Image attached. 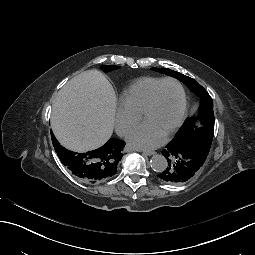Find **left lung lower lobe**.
I'll return each mask as SVG.
<instances>
[{
	"label": "left lung lower lobe",
	"instance_id": "1",
	"mask_svg": "<svg viewBox=\"0 0 255 255\" xmlns=\"http://www.w3.org/2000/svg\"><path fill=\"white\" fill-rule=\"evenodd\" d=\"M162 153L168 161V167L164 172L158 174L164 182L180 183L192 178L193 173L200 170L203 156L194 147L187 144H173L171 147L163 148Z\"/></svg>",
	"mask_w": 255,
	"mask_h": 255
}]
</instances>
